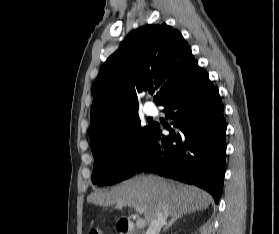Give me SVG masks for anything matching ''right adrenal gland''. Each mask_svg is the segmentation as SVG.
<instances>
[{
	"label": "right adrenal gland",
	"instance_id": "2a0ac1e0",
	"mask_svg": "<svg viewBox=\"0 0 279 234\" xmlns=\"http://www.w3.org/2000/svg\"><path fill=\"white\" fill-rule=\"evenodd\" d=\"M179 216L172 217L168 223H166L165 227L163 228V232H166L172 225L179 219Z\"/></svg>",
	"mask_w": 279,
	"mask_h": 234
}]
</instances>
